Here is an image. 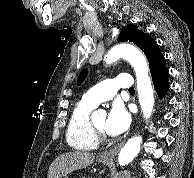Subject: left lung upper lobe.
<instances>
[{
  "mask_svg": "<svg viewBox=\"0 0 194 178\" xmlns=\"http://www.w3.org/2000/svg\"><path fill=\"white\" fill-rule=\"evenodd\" d=\"M117 40L123 42H133L142 49L148 59L150 69L161 57H163L155 40H153L148 34H145L143 31L137 29V26L135 25L123 27ZM87 72V69H83L81 71L77 79L78 84H81L86 78Z\"/></svg>",
  "mask_w": 194,
  "mask_h": 178,
  "instance_id": "obj_1",
  "label": "left lung upper lobe"
}]
</instances>
